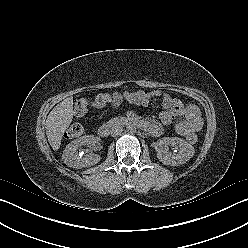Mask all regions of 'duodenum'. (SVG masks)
<instances>
[{"label":"duodenum","mask_w":248,"mask_h":248,"mask_svg":"<svg viewBox=\"0 0 248 248\" xmlns=\"http://www.w3.org/2000/svg\"><path fill=\"white\" fill-rule=\"evenodd\" d=\"M124 122L138 126L140 128L148 127V123L146 121L135 118V117H128L127 119L124 120ZM111 130H112V127L110 125H103L99 128L98 133L101 137L107 138L110 136Z\"/></svg>","instance_id":"410a0bca"}]
</instances>
